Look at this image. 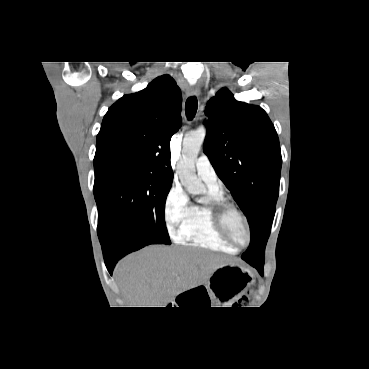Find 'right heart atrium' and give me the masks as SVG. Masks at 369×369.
<instances>
[{
  "mask_svg": "<svg viewBox=\"0 0 369 369\" xmlns=\"http://www.w3.org/2000/svg\"><path fill=\"white\" fill-rule=\"evenodd\" d=\"M189 208L186 192L180 184H173L165 198L164 218L168 231L176 238L181 224L188 215Z\"/></svg>",
  "mask_w": 369,
  "mask_h": 369,
  "instance_id": "obj_1",
  "label": "right heart atrium"
}]
</instances>
